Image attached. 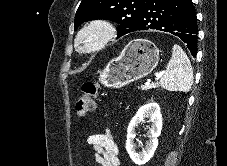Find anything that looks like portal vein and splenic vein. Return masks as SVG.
<instances>
[{"label":"portal vein and splenic vein","mask_w":227,"mask_h":166,"mask_svg":"<svg viewBox=\"0 0 227 166\" xmlns=\"http://www.w3.org/2000/svg\"><path fill=\"white\" fill-rule=\"evenodd\" d=\"M163 72L159 73L157 76H156V80H159V78L162 76ZM150 83L149 82H146L145 85H149Z\"/></svg>","instance_id":"portal-vein-and-splenic-vein-1"}]
</instances>
